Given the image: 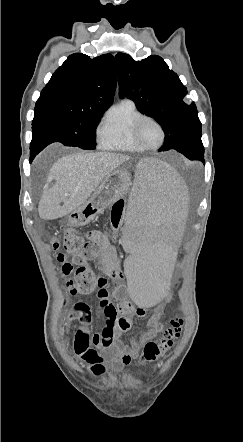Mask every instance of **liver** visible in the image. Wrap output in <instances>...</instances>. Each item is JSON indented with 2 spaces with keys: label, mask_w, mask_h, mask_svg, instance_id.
<instances>
[{
  "label": "liver",
  "mask_w": 243,
  "mask_h": 442,
  "mask_svg": "<svg viewBox=\"0 0 243 442\" xmlns=\"http://www.w3.org/2000/svg\"><path fill=\"white\" fill-rule=\"evenodd\" d=\"M130 157L110 152H78L59 159L50 169L39 202V216L45 220L62 218L80 207L101 182ZM172 171V169L170 168Z\"/></svg>",
  "instance_id": "1"
}]
</instances>
